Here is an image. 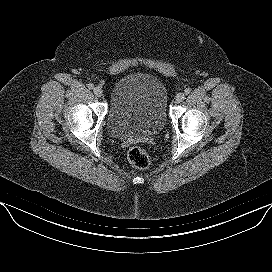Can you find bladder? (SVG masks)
<instances>
[{"instance_id":"obj_1","label":"bladder","mask_w":272,"mask_h":272,"mask_svg":"<svg viewBox=\"0 0 272 272\" xmlns=\"http://www.w3.org/2000/svg\"><path fill=\"white\" fill-rule=\"evenodd\" d=\"M167 103L160 78L142 71L127 73L111 88L106 127L117 139L155 134L166 123Z\"/></svg>"}]
</instances>
